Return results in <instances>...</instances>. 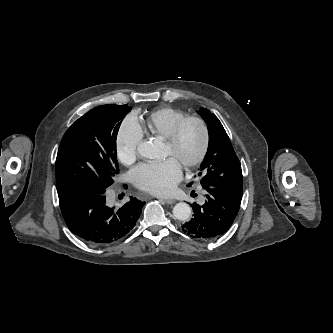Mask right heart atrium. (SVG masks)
I'll use <instances>...</instances> for the list:
<instances>
[{
  "mask_svg": "<svg viewBox=\"0 0 333 333\" xmlns=\"http://www.w3.org/2000/svg\"><path fill=\"white\" fill-rule=\"evenodd\" d=\"M142 139L143 131L137 119L132 115L125 117L115 138L116 156L122 164L130 165L135 161Z\"/></svg>",
  "mask_w": 333,
  "mask_h": 333,
  "instance_id": "1",
  "label": "right heart atrium"
}]
</instances>
